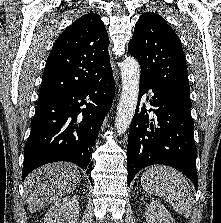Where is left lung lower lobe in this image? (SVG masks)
Masks as SVG:
<instances>
[{
  "instance_id": "1",
  "label": "left lung lower lobe",
  "mask_w": 221,
  "mask_h": 223,
  "mask_svg": "<svg viewBox=\"0 0 221 223\" xmlns=\"http://www.w3.org/2000/svg\"><path fill=\"white\" fill-rule=\"evenodd\" d=\"M147 97L155 118L148 115L142 96ZM189 96L157 86L140 78L139 104L130 126L127 147L128 186L144 167L153 164L171 166L185 174L198 188L194 122Z\"/></svg>"
}]
</instances>
